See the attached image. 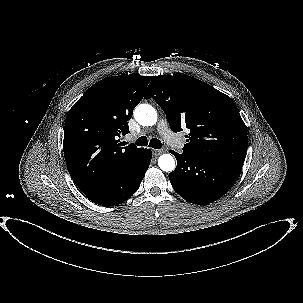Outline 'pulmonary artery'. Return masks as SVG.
Masks as SVG:
<instances>
[{"label": "pulmonary artery", "instance_id": "e3ab8cb5", "mask_svg": "<svg viewBox=\"0 0 303 303\" xmlns=\"http://www.w3.org/2000/svg\"><path fill=\"white\" fill-rule=\"evenodd\" d=\"M157 130L159 134L165 139L168 145L176 148H181L183 146L182 141L178 138L170 129L168 123L162 120L157 125Z\"/></svg>", "mask_w": 303, "mask_h": 303}]
</instances>
